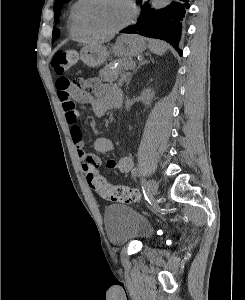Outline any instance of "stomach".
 Wrapping results in <instances>:
<instances>
[{
  "instance_id": "obj_1",
  "label": "stomach",
  "mask_w": 245,
  "mask_h": 300,
  "mask_svg": "<svg viewBox=\"0 0 245 300\" xmlns=\"http://www.w3.org/2000/svg\"><path fill=\"white\" fill-rule=\"evenodd\" d=\"M146 49L143 38L137 35H121L108 51L105 46H85L80 51V60L89 67L103 64L110 54L119 57H133L141 54Z\"/></svg>"
}]
</instances>
